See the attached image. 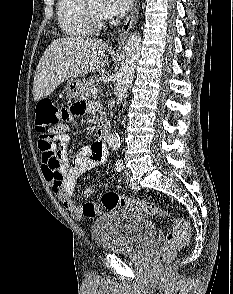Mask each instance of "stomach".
Returning a JSON list of instances; mask_svg holds the SVG:
<instances>
[{"label":"stomach","mask_w":233,"mask_h":294,"mask_svg":"<svg viewBox=\"0 0 233 294\" xmlns=\"http://www.w3.org/2000/svg\"><path fill=\"white\" fill-rule=\"evenodd\" d=\"M82 83L79 79H69L65 86L66 95L69 99H79L81 96Z\"/></svg>","instance_id":"stomach-1"}]
</instances>
